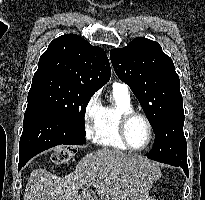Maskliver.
<instances>
[{
	"instance_id": "1",
	"label": "liver",
	"mask_w": 205,
	"mask_h": 200,
	"mask_svg": "<svg viewBox=\"0 0 205 200\" xmlns=\"http://www.w3.org/2000/svg\"><path fill=\"white\" fill-rule=\"evenodd\" d=\"M159 176L157 165L147 160L101 148L83 157L64 177L41 168L33 170L24 200H82L79 190L86 185L93 186L101 200H144Z\"/></svg>"
}]
</instances>
